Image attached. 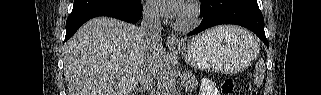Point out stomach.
<instances>
[{
    "mask_svg": "<svg viewBox=\"0 0 321 95\" xmlns=\"http://www.w3.org/2000/svg\"><path fill=\"white\" fill-rule=\"evenodd\" d=\"M192 67L220 73H233L248 66L258 55L256 39L247 31L226 27L209 30L176 49Z\"/></svg>",
    "mask_w": 321,
    "mask_h": 95,
    "instance_id": "obj_1",
    "label": "stomach"
}]
</instances>
